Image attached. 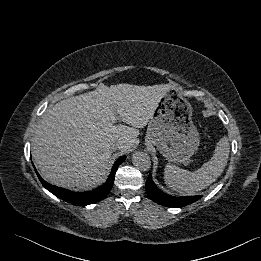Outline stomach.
Returning <instances> with one entry per match:
<instances>
[{
    "label": "stomach",
    "instance_id": "1",
    "mask_svg": "<svg viewBox=\"0 0 261 261\" xmlns=\"http://www.w3.org/2000/svg\"><path fill=\"white\" fill-rule=\"evenodd\" d=\"M193 108L178 86L160 99L148 123L146 144L154 145L168 161L183 163L197 150L200 137L192 121Z\"/></svg>",
    "mask_w": 261,
    "mask_h": 261
}]
</instances>
